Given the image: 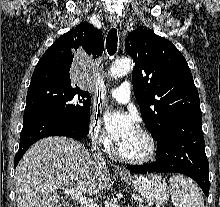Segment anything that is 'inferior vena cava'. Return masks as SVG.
Returning <instances> with one entry per match:
<instances>
[{"label":"inferior vena cava","mask_w":220,"mask_h":207,"mask_svg":"<svg viewBox=\"0 0 220 207\" xmlns=\"http://www.w3.org/2000/svg\"><path fill=\"white\" fill-rule=\"evenodd\" d=\"M92 153H93L94 160L101 161V162L105 161L104 156H102V153L99 151V148L96 147V145L93 147Z\"/></svg>","instance_id":"602c4592"}]
</instances>
